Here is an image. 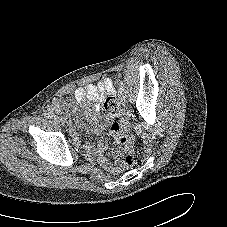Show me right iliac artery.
Wrapping results in <instances>:
<instances>
[{
  "label": "right iliac artery",
  "instance_id": "obj_1",
  "mask_svg": "<svg viewBox=\"0 0 227 227\" xmlns=\"http://www.w3.org/2000/svg\"><path fill=\"white\" fill-rule=\"evenodd\" d=\"M46 118H52L54 117V114L53 113H45L44 115Z\"/></svg>",
  "mask_w": 227,
  "mask_h": 227
}]
</instances>
